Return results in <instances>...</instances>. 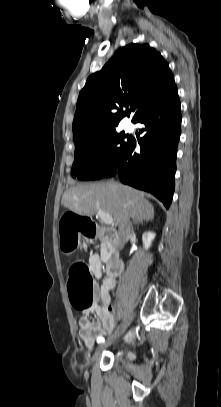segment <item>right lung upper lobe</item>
I'll return each instance as SVG.
<instances>
[{
	"instance_id": "obj_1",
	"label": "right lung upper lobe",
	"mask_w": 221,
	"mask_h": 407,
	"mask_svg": "<svg viewBox=\"0 0 221 407\" xmlns=\"http://www.w3.org/2000/svg\"><path fill=\"white\" fill-rule=\"evenodd\" d=\"M173 87L174 76L154 48L148 44L120 48L100 71L87 79L79 94L72 127L74 143L114 129L126 115L123 107H131L134 122Z\"/></svg>"
}]
</instances>
